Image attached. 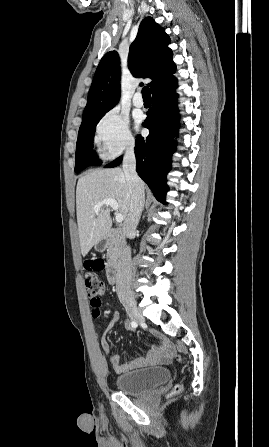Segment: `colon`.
Returning a JSON list of instances; mask_svg holds the SVG:
<instances>
[{"label": "colon", "instance_id": "1", "mask_svg": "<svg viewBox=\"0 0 269 447\" xmlns=\"http://www.w3.org/2000/svg\"><path fill=\"white\" fill-rule=\"evenodd\" d=\"M105 268L103 257H89L85 263L84 268V286L87 296L91 297V312H97L100 298L106 292V285L103 280L96 275L97 271H103ZM94 318L98 317L97 313L93 314ZM180 359V358H178ZM181 391V386L176 385L174 389L168 394V399L173 398Z\"/></svg>", "mask_w": 269, "mask_h": 447}]
</instances>
